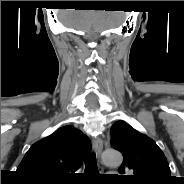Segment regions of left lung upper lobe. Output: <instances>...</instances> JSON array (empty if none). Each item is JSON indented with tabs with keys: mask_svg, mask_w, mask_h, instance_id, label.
I'll return each mask as SVG.
<instances>
[{
	"mask_svg": "<svg viewBox=\"0 0 184 184\" xmlns=\"http://www.w3.org/2000/svg\"><path fill=\"white\" fill-rule=\"evenodd\" d=\"M111 145L123 155L119 167L122 176L129 184H171L168 162L157 144L141 134L126 122L120 120L111 127Z\"/></svg>",
	"mask_w": 184,
	"mask_h": 184,
	"instance_id": "1",
	"label": "left lung upper lobe"
}]
</instances>
